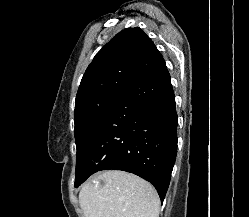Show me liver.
<instances>
[{
    "instance_id": "liver-1",
    "label": "liver",
    "mask_w": 249,
    "mask_h": 217,
    "mask_svg": "<svg viewBox=\"0 0 249 217\" xmlns=\"http://www.w3.org/2000/svg\"><path fill=\"white\" fill-rule=\"evenodd\" d=\"M84 217H159L160 199L154 187L136 175L108 170L80 190Z\"/></svg>"
}]
</instances>
